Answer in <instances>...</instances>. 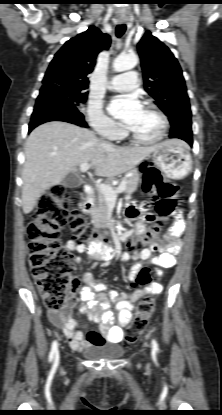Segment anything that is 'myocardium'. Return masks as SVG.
<instances>
[{"label":"myocardium","mask_w":222,"mask_h":415,"mask_svg":"<svg viewBox=\"0 0 222 415\" xmlns=\"http://www.w3.org/2000/svg\"><path fill=\"white\" fill-rule=\"evenodd\" d=\"M143 107L152 110L160 118L162 126H161V130L159 134L153 139H143L137 136L135 133H133L129 128H125V134L134 143L141 144V145H153L164 139L169 128V120L166 114L161 109H159L156 105L146 102L144 103Z\"/></svg>","instance_id":"1"}]
</instances>
